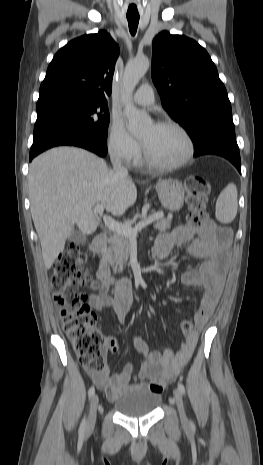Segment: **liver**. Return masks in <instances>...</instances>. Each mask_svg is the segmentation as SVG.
<instances>
[{
	"mask_svg": "<svg viewBox=\"0 0 263 465\" xmlns=\"http://www.w3.org/2000/svg\"><path fill=\"white\" fill-rule=\"evenodd\" d=\"M28 187L32 219L38 233L46 269H50L74 225L84 234L98 226L97 204L121 216L134 205L137 189L106 162L86 150L57 147L36 157L29 169Z\"/></svg>",
	"mask_w": 263,
	"mask_h": 465,
	"instance_id": "1",
	"label": "liver"
}]
</instances>
